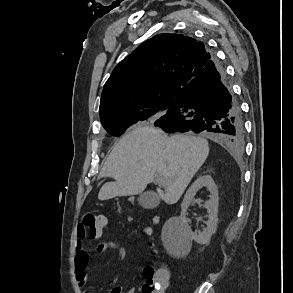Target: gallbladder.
I'll list each match as a JSON object with an SVG mask.
<instances>
[{
    "instance_id": "bac80fb5",
    "label": "gallbladder",
    "mask_w": 293,
    "mask_h": 293,
    "mask_svg": "<svg viewBox=\"0 0 293 293\" xmlns=\"http://www.w3.org/2000/svg\"><path fill=\"white\" fill-rule=\"evenodd\" d=\"M138 202L143 208L152 209L158 206L159 196L152 191H147L139 195Z\"/></svg>"
}]
</instances>
